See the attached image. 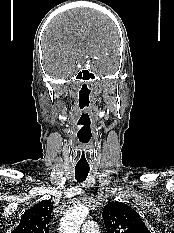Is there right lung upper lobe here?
Instances as JSON below:
<instances>
[{
	"mask_svg": "<svg viewBox=\"0 0 174 233\" xmlns=\"http://www.w3.org/2000/svg\"><path fill=\"white\" fill-rule=\"evenodd\" d=\"M52 209L49 200H42L23 214L12 233H49Z\"/></svg>",
	"mask_w": 174,
	"mask_h": 233,
	"instance_id": "right-lung-upper-lobe-1",
	"label": "right lung upper lobe"
}]
</instances>
